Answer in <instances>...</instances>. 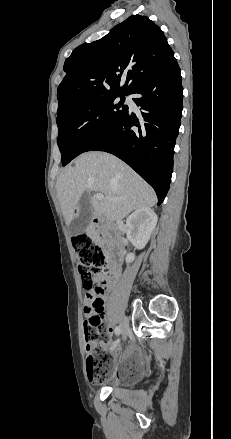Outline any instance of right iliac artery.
<instances>
[{"mask_svg":"<svg viewBox=\"0 0 231 439\" xmlns=\"http://www.w3.org/2000/svg\"><path fill=\"white\" fill-rule=\"evenodd\" d=\"M115 333H116V335H120V333H121V329H120V327H116L115 328Z\"/></svg>","mask_w":231,"mask_h":439,"instance_id":"obj_1","label":"right iliac artery"}]
</instances>
